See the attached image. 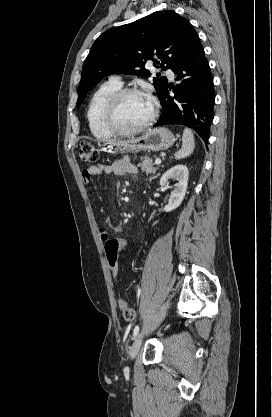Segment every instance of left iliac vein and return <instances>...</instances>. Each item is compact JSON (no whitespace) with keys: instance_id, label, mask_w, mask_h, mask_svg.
Here are the masks:
<instances>
[{"instance_id":"obj_1","label":"left iliac vein","mask_w":272,"mask_h":417,"mask_svg":"<svg viewBox=\"0 0 272 417\" xmlns=\"http://www.w3.org/2000/svg\"><path fill=\"white\" fill-rule=\"evenodd\" d=\"M143 335H144V332H140L137 335V337H136L135 341L133 342L132 346L130 347L129 355L132 359H134L140 351Z\"/></svg>"}]
</instances>
